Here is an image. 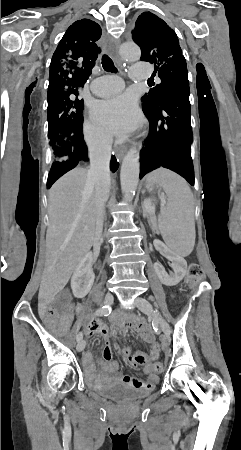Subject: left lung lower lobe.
I'll return each mask as SVG.
<instances>
[{"label": "left lung lower lobe", "mask_w": 241, "mask_h": 450, "mask_svg": "<svg viewBox=\"0 0 241 450\" xmlns=\"http://www.w3.org/2000/svg\"><path fill=\"white\" fill-rule=\"evenodd\" d=\"M143 111L149 120L150 131L140 151V178L164 167L194 185L189 92L172 94L159 106L151 105Z\"/></svg>", "instance_id": "left-lung-lower-lobe-1"}]
</instances>
